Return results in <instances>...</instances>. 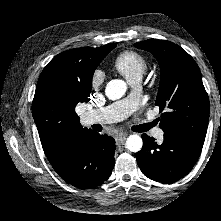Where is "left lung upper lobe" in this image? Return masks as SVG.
<instances>
[{
	"instance_id": "obj_1",
	"label": "left lung upper lobe",
	"mask_w": 221,
	"mask_h": 221,
	"mask_svg": "<svg viewBox=\"0 0 221 221\" xmlns=\"http://www.w3.org/2000/svg\"><path fill=\"white\" fill-rule=\"evenodd\" d=\"M134 46L151 52L160 66L156 99L160 112L164 111L160 128L204 144L210 105L194 59L179 45L166 40L148 39Z\"/></svg>"
}]
</instances>
